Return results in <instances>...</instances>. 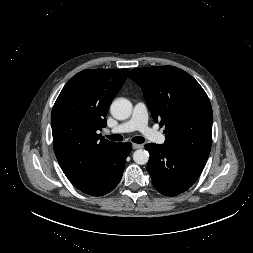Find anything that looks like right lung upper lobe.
I'll list each match as a JSON object with an SVG mask.
<instances>
[{
	"label": "right lung upper lobe",
	"instance_id": "1",
	"mask_svg": "<svg viewBox=\"0 0 253 253\" xmlns=\"http://www.w3.org/2000/svg\"><path fill=\"white\" fill-rule=\"evenodd\" d=\"M129 69H87L74 75L59 94L51 114L56 158L69 181L85 180L114 144L97 130L106 126L109 106Z\"/></svg>",
	"mask_w": 253,
	"mask_h": 253
}]
</instances>
